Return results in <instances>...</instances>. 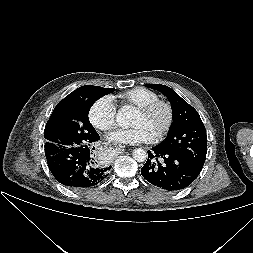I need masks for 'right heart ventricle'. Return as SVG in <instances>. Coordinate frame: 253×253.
<instances>
[{
	"label": "right heart ventricle",
	"instance_id": "right-heart-ventricle-1",
	"mask_svg": "<svg viewBox=\"0 0 253 253\" xmlns=\"http://www.w3.org/2000/svg\"><path fill=\"white\" fill-rule=\"evenodd\" d=\"M121 99L126 106L136 108L158 100L159 95L148 88L135 87L122 93Z\"/></svg>",
	"mask_w": 253,
	"mask_h": 253
}]
</instances>
